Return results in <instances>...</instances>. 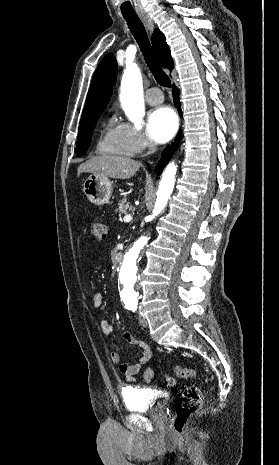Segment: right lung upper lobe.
<instances>
[{"label":"right lung upper lobe","instance_id":"obj_1","mask_svg":"<svg viewBox=\"0 0 279 465\" xmlns=\"http://www.w3.org/2000/svg\"><path fill=\"white\" fill-rule=\"evenodd\" d=\"M151 41L161 65L172 70L173 60L164 34L155 29ZM116 76L117 63L114 55L109 53L104 56L94 74L79 127L89 124L105 109L112 94V87L116 83Z\"/></svg>","mask_w":279,"mask_h":465}]
</instances>
